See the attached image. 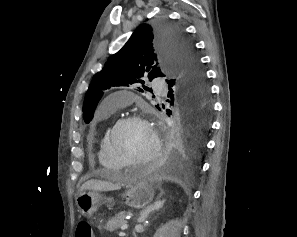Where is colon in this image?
Returning <instances> with one entry per match:
<instances>
[{"label":"colon","instance_id":"obj_1","mask_svg":"<svg viewBox=\"0 0 297 237\" xmlns=\"http://www.w3.org/2000/svg\"><path fill=\"white\" fill-rule=\"evenodd\" d=\"M76 237H93L91 227L87 222H80L76 227Z\"/></svg>","mask_w":297,"mask_h":237}]
</instances>
